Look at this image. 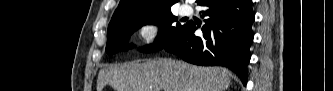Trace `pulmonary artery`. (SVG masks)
I'll return each instance as SVG.
<instances>
[{
  "instance_id": "1",
  "label": "pulmonary artery",
  "mask_w": 333,
  "mask_h": 91,
  "mask_svg": "<svg viewBox=\"0 0 333 91\" xmlns=\"http://www.w3.org/2000/svg\"><path fill=\"white\" fill-rule=\"evenodd\" d=\"M179 12L181 15L185 16V15L190 14L191 9L188 5H182L179 9Z\"/></svg>"
}]
</instances>
